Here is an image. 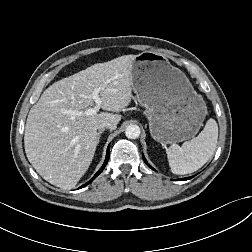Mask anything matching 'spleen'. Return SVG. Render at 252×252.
<instances>
[{
    "instance_id": "obj_1",
    "label": "spleen",
    "mask_w": 252,
    "mask_h": 252,
    "mask_svg": "<svg viewBox=\"0 0 252 252\" xmlns=\"http://www.w3.org/2000/svg\"><path fill=\"white\" fill-rule=\"evenodd\" d=\"M218 142V125L209 119L200 134L181 147L172 145L166 149L172 173L184 175L200 169L215 152Z\"/></svg>"
}]
</instances>
